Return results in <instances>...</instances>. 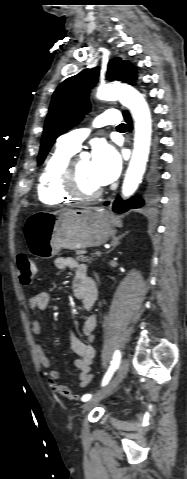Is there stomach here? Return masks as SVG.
Segmentation results:
<instances>
[{
	"label": "stomach",
	"mask_w": 187,
	"mask_h": 479,
	"mask_svg": "<svg viewBox=\"0 0 187 479\" xmlns=\"http://www.w3.org/2000/svg\"><path fill=\"white\" fill-rule=\"evenodd\" d=\"M114 234L110 214L98 207L38 211L24 225L30 253L42 259L52 258L63 248L102 245Z\"/></svg>",
	"instance_id": "1"
}]
</instances>
